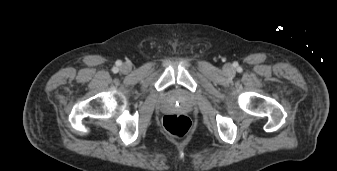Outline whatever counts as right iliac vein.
<instances>
[{"label": "right iliac vein", "mask_w": 337, "mask_h": 171, "mask_svg": "<svg viewBox=\"0 0 337 171\" xmlns=\"http://www.w3.org/2000/svg\"><path fill=\"white\" fill-rule=\"evenodd\" d=\"M120 69L123 73H128V72H130L131 67H130L129 64H123Z\"/></svg>", "instance_id": "63e3f726"}]
</instances>
